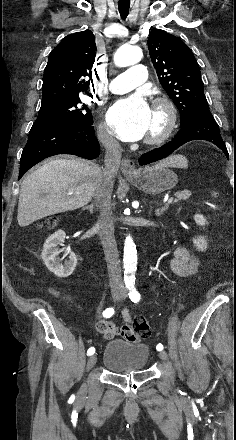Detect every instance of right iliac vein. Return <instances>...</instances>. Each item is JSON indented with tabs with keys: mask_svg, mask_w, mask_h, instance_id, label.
<instances>
[{
	"mask_svg": "<svg viewBox=\"0 0 236 440\" xmlns=\"http://www.w3.org/2000/svg\"><path fill=\"white\" fill-rule=\"evenodd\" d=\"M118 296H119V293H117V292L113 293L114 298H117ZM96 362H97V356L96 355L90 356V358L87 361V370L92 369L95 366Z\"/></svg>",
	"mask_w": 236,
	"mask_h": 440,
	"instance_id": "63e3f726",
	"label": "right iliac vein"
}]
</instances>
